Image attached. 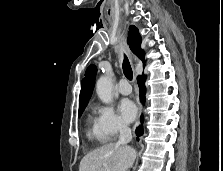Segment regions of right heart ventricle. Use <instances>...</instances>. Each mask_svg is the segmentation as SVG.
<instances>
[{
    "label": "right heart ventricle",
    "mask_w": 223,
    "mask_h": 171,
    "mask_svg": "<svg viewBox=\"0 0 223 171\" xmlns=\"http://www.w3.org/2000/svg\"><path fill=\"white\" fill-rule=\"evenodd\" d=\"M87 123H88V131H87L88 137L91 140L103 142L104 139L101 137L96 127V119H94L91 115H89L87 118Z\"/></svg>",
    "instance_id": "obj_1"
}]
</instances>
